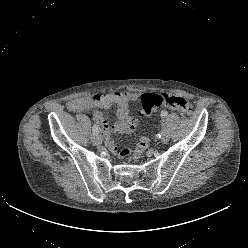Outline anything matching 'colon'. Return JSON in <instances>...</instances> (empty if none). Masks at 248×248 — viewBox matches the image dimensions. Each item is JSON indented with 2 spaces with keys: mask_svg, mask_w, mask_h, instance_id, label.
Returning a JSON list of instances; mask_svg holds the SVG:
<instances>
[{
  "mask_svg": "<svg viewBox=\"0 0 248 248\" xmlns=\"http://www.w3.org/2000/svg\"><path fill=\"white\" fill-rule=\"evenodd\" d=\"M164 105L183 115L189 116L192 113V105L183 97L161 95V94H145L141 99L142 114L149 117L155 107ZM149 145V139L143 136L136 144L132 154L134 160H138Z\"/></svg>",
  "mask_w": 248,
  "mask_h": 248,
  "instance_id": "1",
  "label": "colon"
}]
</instances>
